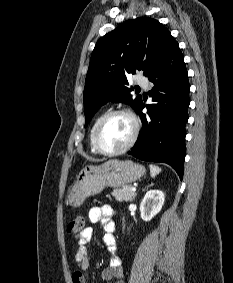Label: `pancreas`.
<instances>
[{"label": "pancreas", "instance_id": "obj_1", "mask_svg": "<svg viewBox=\"0 0 233 283\" xmlns=\"http://www.w3.org/2000/svg\"><path fill=\"white\" fill-rule=\"evenodd\" d=\"M112 196L119 202L131 201L135 197V193L131 191V186L126 185L119 189H114L111 193Z\"/></svg>", "mask_w": 233, "mask_h": 283}]
</instances>
